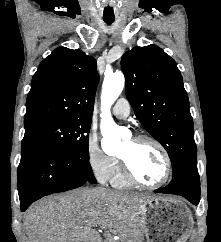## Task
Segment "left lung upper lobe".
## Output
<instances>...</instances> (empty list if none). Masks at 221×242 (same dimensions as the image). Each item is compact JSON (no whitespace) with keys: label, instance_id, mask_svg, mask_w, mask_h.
<instances>
[{"label":"left lung upper lobe","instance_id":"obj_1","mask_svg":"<svg viewBox=\"0 0 221 242\" xmlns=\"http://www.w3.org/2000/svg\"><path fill=\"white\" fill-rule=\"evenodd\" d=\"M126 97L144 128L167 150L172 177L197 164L190 104L177 64L152 44L121 59Z\"/></svg>","mask_w":221,"mask_h":242}]
</instances>
